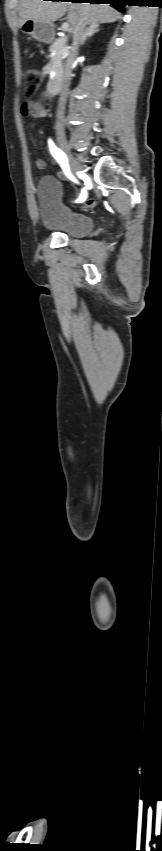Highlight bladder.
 <instances>
[{
    "instance_id": "bladder-1",
    "label": "bladder",
    "mask_w": 162,
    "mask_h": 851,
    "mask_svg": "<svg viewBox=\"0 0 162 851\" xmlns=\"http://www.w3.org/2000/svg\"><path fill=\"white\" fill-rule=\"evenodd\" d=\"M37 200L42 224L47 231L70 238H83L92 231L93 219L74 210L63 200L61 184L56 178L46 176L39 181Z\"/></svg>"
}]
</instances>
